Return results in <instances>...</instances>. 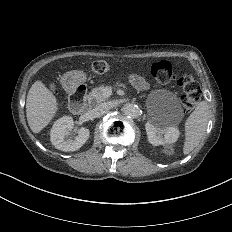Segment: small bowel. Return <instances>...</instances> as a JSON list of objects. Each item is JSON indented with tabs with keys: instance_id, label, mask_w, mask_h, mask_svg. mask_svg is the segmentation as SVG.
I'll return each instance as SVG.
<instances>
[{
	"instance_id": "c3829d8e",
	"label": "small bowel",
	"mask_w": 232,
	"mask_h": 232,
	"mask_svg": "<svg viewBox=\"0 0 232 232\" xmlns=\"http://www.w3.org/2000/svg\"><path fill=\"white\" fill-rule=\"evenodd\" d=\"M128 78L132 85L137 89V90H146L148 87V83L146 80L139 74L131 72L128 74Z\"/></svg>"
}]
</instances>
